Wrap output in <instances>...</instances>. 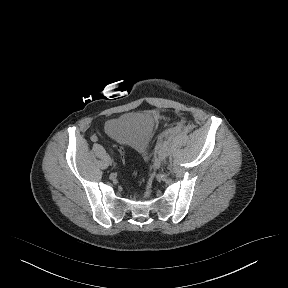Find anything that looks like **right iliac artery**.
Segmentation results:
<instances>
[{
    "label": "right iliac artery",
    "mask_w": 288,
    "mask_h": 288,
    "mask_svg": "<svg viewBox=\"0 0 288 288\" xmlns=\"http://www.w3.org/2000/svg\"><path fill=\"white\" fill-rule=\"evenodd\" d=\"M91 141H93V142L98 141L97 136H96V135L91 136ZM110 151H111V153H113V150H112V149H110Z\"/></svg>",
    "instance_id": "1"
}]
</instances>
